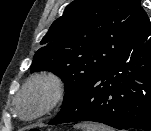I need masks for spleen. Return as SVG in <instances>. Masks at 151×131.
I'll use <instances>...</instances> for the list:
<instances>
[{"label": "spleen", "instance_id": "spleen-1", "mask_svg": "<svg viewBox=\"0 0 151 131\" xmlns=\"http://www.w3.org/2000/svg\"><path fill=\"white\" fill-rule=\"evenodd\" d=\"M76 129H81L82 131H113L112 128L105 126L103 124L97 123H82L75 125Z\"/></svg>", "mask_w": 151, "mask_h": 131}]
</instances>
